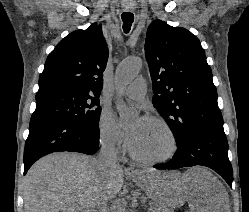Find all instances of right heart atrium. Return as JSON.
I'll use <instances>...</instances> for the list:
<instances>
[{
  "label": "right heart atrium",
  "mask_w": 249,
  "mask_h": 212,
  "mask_svg": "<svg viewBox=\"0 0 249 212\" xmlns=\"http://www.w3.org/2000/svg\"><path fill=\"white\" fill-rule=\"evenodd\" d=\"M97 131L100 143L106 150L116 156L124 154L125 145L123 138L115 124L111 112L108 110H102L100 113Z\"/></svg>",
  "instance_id": "d8ad5b80"
}]
</instances>
